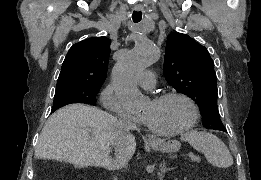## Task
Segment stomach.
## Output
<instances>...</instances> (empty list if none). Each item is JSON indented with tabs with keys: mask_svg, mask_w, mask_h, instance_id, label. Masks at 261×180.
<instances>
[{
	"mask_svg": "<svg viewBox=\"0 0 261 180\" xmlns=\"http://www.w3.org/2000/svg\"><path fill=\"white\" fill-rule=\"evenodd\" d=\"M152 147L155 150L161 151L163 153H172L176 152L180 148V143L175 140L167 141V142H162L159 144H152Z\"/></svg>",
	"mask_w": 261,
	"mask_h": 180,
	"instance_id": "1",
	"label": "stomach"
}]
</instances>
